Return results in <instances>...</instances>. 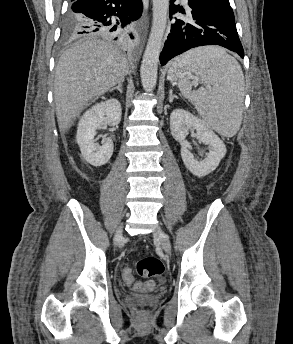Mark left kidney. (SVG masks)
Instances as JSON below:
<instances>
[{
  "label": "left kidney",
  "instance_id": "obj_1",
  "mask_svg": "<svg viewBox=\"0 0 293 344\" xmlns=\"http://www.w3.org/2000/svg\"><path fill=\"white\" fill-rule=\"evenodd\" d=\"M170 129L173 138L181 143V156L187 169L197 177L213 172L226 154L224 142L201 119L183 109H175L170 116ZM190 129L196 130L197 138L209 146V153L198 161L182 143Z\"/></svg>",
  "mask_w": 293,
  "mask_h": 344
}]
</instances>
